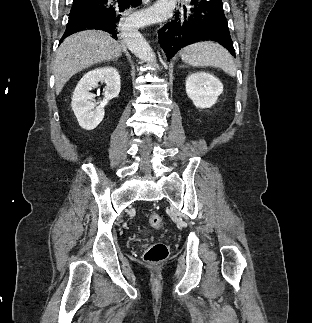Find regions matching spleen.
<instances>
[{
  "label": "spleen",
  "instance_id": "3e777b00",
  "mask_svg": "<svg viewBox=\"0 0 312 323\" xmlns=\"http://www.w3.org/2000/svg\"><path fill=\"white\" fill-rule=\"evenodd\" d=\"M181 60L189 66H213V68H222L229 76H236V68L233 64L232 56L229 52L213 42H198L183 48Z\"/></svg>",
  "mask_w": 312,
  "mask_h": 323
}]
</instances>
